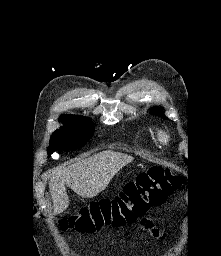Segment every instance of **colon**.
<instances>
[{
  "label": "colon",
  "instance_id": "obj_1",
  "mask_svg": "<svg viewBox=\"0 0 221 256\" xmlns=\"http://www.w3.org/2000/svg\"><path fill=\"white\" fill-rule=\"evenodd\" d=\"M181 183V178L168 169L153 166L128 182L115 197L93 202L64 218L60 227L84 233L122 227L144 216L150 207L162 205Z\"/></svg>",
  "mask_w": 221,
  "mask_h": 256
}]
</instances>
